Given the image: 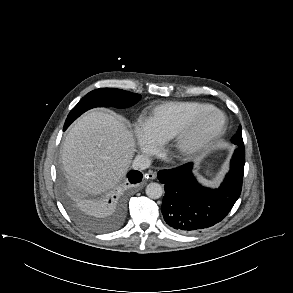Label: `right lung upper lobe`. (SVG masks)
I'll use <instances>...</instances> for the list:
<instances>
[{
	"label": "right lung upper lobe",
	"mask_w": 293,
	"mask_h": 293,
	"mask_svg": "<svg viewBox=\"0 0 293 293\" xmlns=\"http://www.w3.org/2000/svg\"><path fill=\"white\" fill-rule=\"evenodd\" d=\"M94 209H97V208L94 207ZM104 214H109V213H104Z\"/></svg>",
	"instance_id": "cb5924a9"
}]
</instances>
